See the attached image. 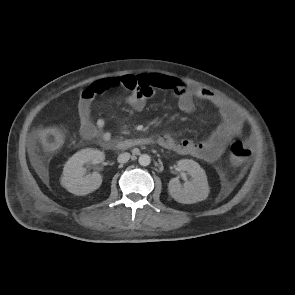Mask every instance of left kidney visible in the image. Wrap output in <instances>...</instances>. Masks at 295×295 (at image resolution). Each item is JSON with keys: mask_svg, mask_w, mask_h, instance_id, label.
Masks as SVG:
<instances>
[{"mask_svg": "<svg viewBox=\"0 0 295 295\" xmlns=\"http://www.w3.org/2000/svg\"><path fill=\"white\" fill-rule=\"evenodd\" d=\"M177 167L180 171L187 172L191 176V181L182 186L177 178H172L168 184L172 198L183 204L205 200L209 194V186L203 168L197 162L188 159L179 160Z\"/></svg>", "mask_w": 295, "mask_h": 295, "instance_id": "1", "label": "left kidney"}]
</instances>
